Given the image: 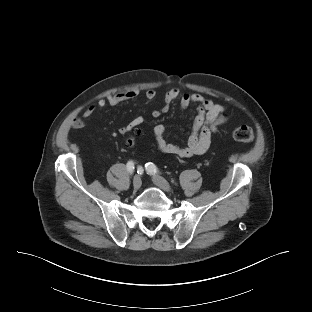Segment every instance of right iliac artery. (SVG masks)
Masks as SVG:
<instances>
[{
	"instance_id": "obj_1",
	"label": "right iliac artery",
	"mask_w": 312,
	"mask_h": 312,
	"mask_svg": "<svg viewBox=\"0 0 312 312\" xmlns=\"http://www.w3.org/2000/svg\"><path fill=\"white\" fill-rule=\"evenodd\" d=\"M127 171L130 174H132L134 172V162L133 161H128V163H127ZM137 173L138 174H142L143 173V168L141 166L138 167Z\"/></svg>"
}]
</instances>
